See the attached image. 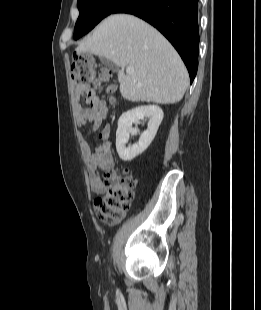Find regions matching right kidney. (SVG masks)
Segmentation results:
<instances>
[{"instance_id":"right-kidney-1","label":"right kidney","mask_w":261,"mask_h":310,"mask_svg":"<svg viewBox=\"0 0 261 310\" xmlns=\"http://www.w3.org/2000/svg\"><path fill=\"white\" fill-rule=\"evenodd\" d=\"M163 111L157 105H146L133 108L123 113L118 120L116 131V150L123 161H131L143 153L153 141L160 123L163 119ZM148 118V127L141 134L138 143L126 147L130 134H137L138 130L132 128V124Z\"/></svg>"}]
</instances>
